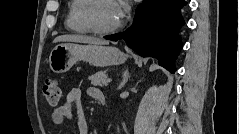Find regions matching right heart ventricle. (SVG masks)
Returning a JSON list of instances; mask_svg holds the SVG:
<instances>
[{"label": "right heart ventricle", "instance_id": "1", "mask_svg": "<svg viewBox=\"0 0 239 134\" xmlns=\"http://www.w3.org/2000/svg\"><path fill=\"white\" fill-rule=\"evenodd\" d=\"M88 0H72L66 17V26L72 32L87 34L90 32L83 20V11Z\"/></svg>", "mask_w": 239, "mask_h": 134}]
</instances>
